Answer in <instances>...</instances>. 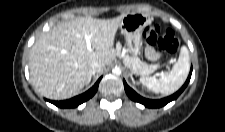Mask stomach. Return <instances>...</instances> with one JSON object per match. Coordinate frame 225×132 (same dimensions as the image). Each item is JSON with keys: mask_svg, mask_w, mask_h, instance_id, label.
I'll return each mask as SVG.
<instances>
[{"mask_svg": "<svg viewBox=\"0 0 225 132\" xmlns=\"http://www.w3.org/2000/svg\"><path fill=\"white\" fill-rule=\"evenodd\" d=\"M150 19L141 13L126 14L120 24V32L125 36L129 53L137 56L142 46V31Z\"/></svg>", "mask_w": 225, "mask_h": 132, "instance_id": "obj_1", "label": "stomach"}]
</instances>
